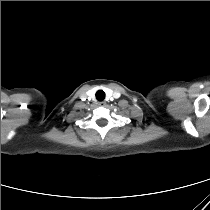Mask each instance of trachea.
<instances>
[{
	"instance_id": "obj_1",
	"label": "trachea",
	"mask_w": 210,
	"mask_h": 210,
	"mask_svg": "<svg viewBox=\"0 0 210 210\" xmlns=\"http://www.w3.org/2000/svg\"><path fill=\"white\" fill-rule=\"evenodd\" d=\"M96 99L98 101H103L105 99V92L103 90H98L96 92Z\"/></svg>"
}]
</instances>
